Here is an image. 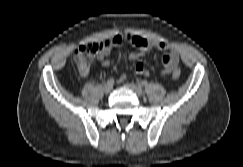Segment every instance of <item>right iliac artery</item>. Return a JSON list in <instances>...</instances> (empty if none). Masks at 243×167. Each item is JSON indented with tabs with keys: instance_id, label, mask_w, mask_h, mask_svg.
<instances>
[{
	"instance_id": "82829eb1",
	"label": "right iliac artery",
	"mask_w": 243,
	"mask_h": 167,
	"mask_svg": "<svg viewBox=\"0 0 243 167\" xmlns=\"http://www.w3.org/2000/svg\"><path fill=\"white\" fill-rule=\"evenodd\" d=\"M107 84H109V85H113V84H114V79H113V78H109V79L107 80Z\"/></svg>"
}]
</instances>
